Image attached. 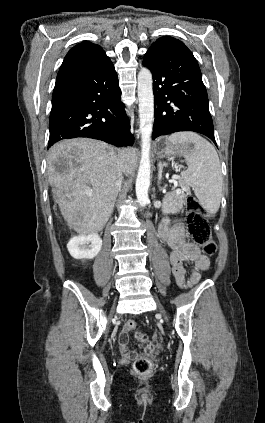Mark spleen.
Returning a JSON list of instances; mask_svg holds the SVG:
<instances>
[{"mask_svg":"<svg viewBox=\"0 0 265 423\" xmlns=\"http://www.w3.org/2000/svg\"><path fill=\"white\" fill-rule=\"evenodd\" d=\"M168 141L171 145L182 148L187 144H194L193 150L181 151L188 165V168L181 172V176L184 182L192 187L201 206L209 214H216L221 202L223 178L214 146L190 131L173 133Z\"/></svg>","mask_w":265,"mask_h":423,"instance_id":"spleen-1","label":"spleen"}]
</instances>
